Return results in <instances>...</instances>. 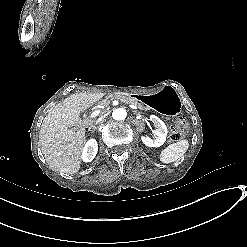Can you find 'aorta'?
Here are the masks:
<instances>
[{"label": "aorta", "mask_w": 247, "mask_h": 247, "mask_svg": "<svg viewBox=\"0 0 247 247\" xmlns=\"http://www.w3.org/2000/svg\"><path fill=\"white\" fill-rule=\"evenodd\" d=\"M112 117L115 120H119V121L124 120L127 117V112L123 108H118V109L113 110Z\"/></svg>", "instance_id": "1"}]
</instances>
